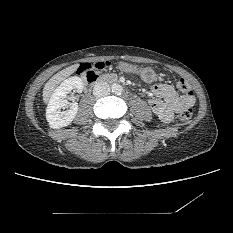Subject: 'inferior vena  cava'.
Masks as SVG:
<instances>
[{
    "instance_id": "602c4592",
    "label": "inferior vena cava",
    "mask_w": 233,
    "mask_h": 233,
    "mask_svg": "<svg viewBox=\"0 0 233 233\" xmlns=\"http://www.w3.org/2000/svg\"><path fill=\"white\" fill-rule=\"evenodd\" d=\"M109 94H110V87L105 82H99L93 88V95L96 97H104Z\"/></svg>"
}]
</instances>
